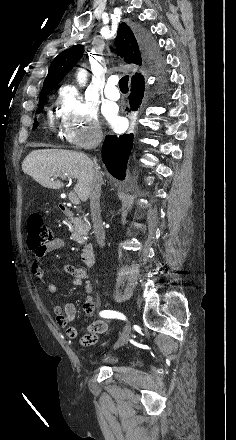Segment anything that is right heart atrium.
<instances>
[{
	"label": "right heart atrium",
	"instance_id": "d8ad5b80",
	"mask_svg": "<svg viewBox=\"0 0 236 440\" xmlns=\"http://www.w3.org/2000/svg\"><path fill=\"white\" fill-rule=\"evenodd\" d=\"M59 130L62 138L74 148H93L103 140L95 106L74 87L59 91Z\"/></svg>",
	"mask_w": 236,
	"mask_h": 440
}]
</instances>
